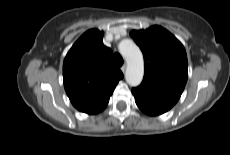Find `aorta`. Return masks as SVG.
I'll list each match as a JSON object with an SVG mask.
<instances>
[{
  "mask_svg": "<svg viewBox=\"0 0 230 155\" xmlns=\"http://www.w3.org/2000/svg\"><path fill=\"white\" fill-rule=\"evenodd\" d=\"M119 50L127 62L125 78L130 86H138L144 75L143 55L139 47L131 40H123Z\"/></svg>",
  "mask_w": 230,
  "mask_h": 155,
  "instance_id": "762f6f07",
  "label": "aorta"
}]
</instances>
